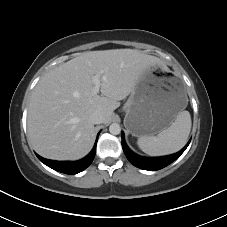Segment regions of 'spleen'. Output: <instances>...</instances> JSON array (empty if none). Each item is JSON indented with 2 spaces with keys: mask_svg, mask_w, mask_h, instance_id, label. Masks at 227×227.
Wrapping results in <instances>:
<instances>
[{
  "mask_svg": "<svg viewBox=\"0 0 227 227\" xmlns=\"http://www.w3.org/2000/svg\"><path fill=\"white\" fill-rule=\"evenodd\" d=\"M188 111L180 112L175 121L157 136H142L137 140L139 148L151 156L169 155L179 151L187 142L191 130Z\"/></svg>",
  "mask_w": 227,
  "mask_h": 227,
  "instance_id": "spleen-1",
  "label": "spleen"
}]
</instances>
